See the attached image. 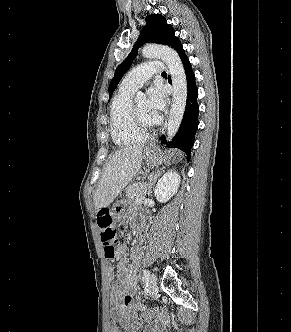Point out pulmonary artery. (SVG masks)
<instances>
[{
    "instance_id": "1",
    "label": "pulmonary artery",
    "mask_w": 291,
    "mask_h": 332,
    "mask_svg": "<svg viewBox=\"0 0 291 332\" xmlns=\"http://www.w3.org/2000/svg\"><path fill=\"white\" fill-rule=\"evenodd\" d=\"M166 66L160 61H149L133 68L122 80L121 88L135 92L154 74H161Z\"/></svg>"
}]
</instances>
